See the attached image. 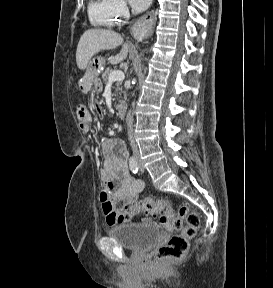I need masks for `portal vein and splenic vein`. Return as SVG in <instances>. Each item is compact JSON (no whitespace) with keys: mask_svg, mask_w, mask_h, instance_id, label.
Here are the masks:
<instances>
[{"mask_svg":"<svg viewBox=\"0 0 273 288\" xmlns=\"http://www.w3.org/2000/svg\"><path fill=\"white\" fill-rule=\"evenodd\" d=\"M125 78V75L122 71H113L110 75H109V83L115 82V81H123Z\"/></svg>","mask_w":273,"mask_h":288,"instance_id":"portal-vein-and-splenic-vein-1","label":"portal vein and splenic vein"}]
</instances>
